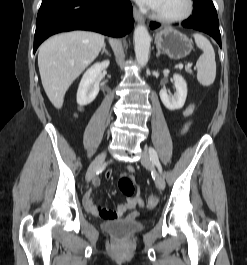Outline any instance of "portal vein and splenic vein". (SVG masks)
<instances>
[{
  "label": "portal vein and splenic vein",
  "instance_id": "obj_1",
  "mask_svg": "<svg viewBox=\"0 0 247 265\" xmlns=\"http://www.w3.org/2000/svg\"><path fill=\"white\" fill-rule=\"evenodd\" d=\"M191 66H192V64H190V63L187 65L188 68H190ZM178 67L181 69V68H183V65L180 64Z\"/></svg>",
  "mask_w": 247,
  "mask_h": 265
}]
</instances>
